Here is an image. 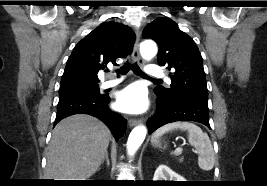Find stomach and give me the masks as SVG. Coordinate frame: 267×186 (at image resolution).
<instances>
[{"label":"stomach","mask_w":267,"mask_h":186,"mask_svg":"<svg viewBox=\"0 0 267 186\" xmlns=\"http://www.w3.org/2000/svg\"><path fill=\"white\" fill-rule=\"evenodd\" d=\"M152 143L153 145H159V146L161 145L159 140H157V142H152Z\"/></svg>","instance_id":"stomach-1"}]
</instances>
